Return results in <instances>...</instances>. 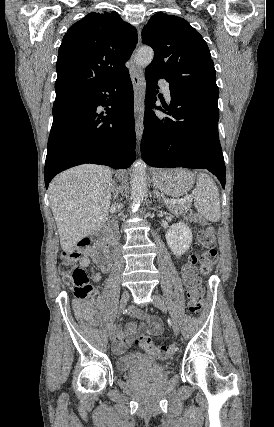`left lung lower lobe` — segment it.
<instances>
[{
    "instance_id": "1",
    "label": "left lung lower lobe",
    "mask_w": 274,
    "mask_h": 427,
    "mask_svg": "<svg viewBox=\"0 0 274 427\" xmlns=\"http://www.w3.org/2000/svg\"><path fill=\"white\" fill-rule=\"evenodd\" d=\"M158 74L146 71L144 133L141 154L153 167L208 169L225 187V164L218 136V98L170 85L171 104L156 107ZM156 107L168 115H156Z\"/></svg>"
}]
</instances>
